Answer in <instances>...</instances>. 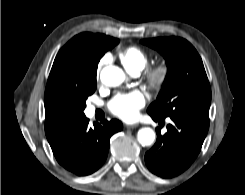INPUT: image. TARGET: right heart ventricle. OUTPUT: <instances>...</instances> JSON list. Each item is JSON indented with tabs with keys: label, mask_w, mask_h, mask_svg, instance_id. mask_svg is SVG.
<instances>
[{
	"label": "right heart ventricle",
	"mask_w": 245,
	"mask_h": 195,
	"mask_svg": "<svg viewBox=\"0 0 245 195\" xmlns=\"http://www.w3.org/2000/svg\"><path fill=\"white\" fill-rule=\"evenodd\" d=\"M119 58L125 69L133 73H140L149 63V57L144 50L137 46H130L119 52Z\"/></svg>",
	"instance_id": "e07e8e85"
}]
</instances>
